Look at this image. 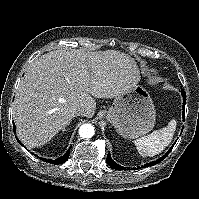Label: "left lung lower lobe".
<instances>
[{"instance_id": "left-lung-lower-lobe-1", "label": "left lung lower lobe", "mask_w": 199, "mask_h": 199, "mask_svg": "<svg viewBox=\"0 0 199 199\" xmlns=\"http://www.w3.org/2000/svg\"><path fill=\"white\" fill-rule=\"evenodd\" d=\"M181 93H182V96H183V108H184L185 107V103H186V94H185V92L183 90H181ZM183 118H184V111H183ZM173 146L171 147V149L173 148ZM171 149H169V151L165 155H163L162 157H160L156 161H152L150 163L145 164L144 166L133 168V169H140V168L149 167V166H153V165H156V164L160 163L164 158H166V156L169 154ZM106 161H107V164L113 169H116V170H125L126 169L125 167H122V166L118 165L116 162H114L112 160L110 154H108V156L106 158ZM128 170H129V168H128Z\"/></svg>"}]
</instances>
